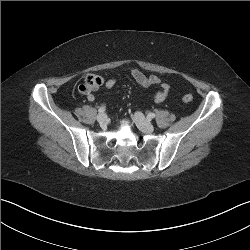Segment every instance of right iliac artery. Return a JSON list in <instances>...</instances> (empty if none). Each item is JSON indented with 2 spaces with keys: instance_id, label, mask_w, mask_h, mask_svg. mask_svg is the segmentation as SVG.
I'll list each match as a JSON object with an SVG mask.
<instances>
[{
  "instance_id": "obj_1",
  "label": "right iliac artery",
  "mask_w": 250,
  "mask_h": 250,
  "mask_svg": "<svg viewBox=\"0 0 250 250\" xmlns=\"http://www.w3.org/2000/svg\"><path fill=\"white\" fill-rule=\"evenodd\" d=\"M105 110H106L105 107H100V108L98 109V112H99V113H103Z\"/></svg>"
}]
</instances>
